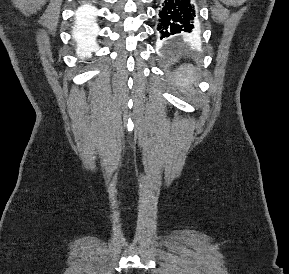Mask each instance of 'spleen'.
<instances>
[{
  "mask_svg": "<svg viewBox=\"0 0 289 274\" xmlns=\"http://www.w3.org/2000/svg\"><path fill=\"white\" fill-rule=\"evenodd\" d=\"M198 79V74L192 65L187 67H180L174 79L176 85L183 87L186 91H191L193 84Z\"/></svg>",
  "mask_w": 289,
  "mask_h": 274,
  "instance_id": "obj_1",
  "label": "spleen"
}]
</instances>
